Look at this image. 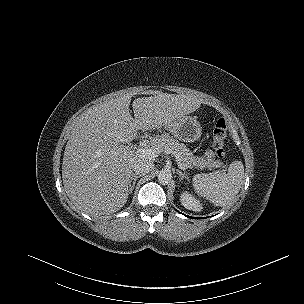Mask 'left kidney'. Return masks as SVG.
I'll return each mask as SVG.
<instances>
[{"instance_id":"obj_1","label":"left kidney","mask_w":304,"mask_h":304,"mask_svg":"<svg viewBox=\"0 0 304 304\" xmlns=\"http://www.w3.org/2000/svg\"><path fill=\"white\" fill-rule=\"evenodd\" d=\"M180 201H181L182 205L188 210L199 212L202 209V205L200 204V201L197 200L195 197H193L188 192H183L181 194Z\"/></svg>"}]
</instances>
